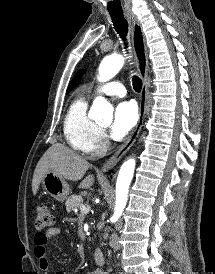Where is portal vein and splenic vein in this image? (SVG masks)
I'll return each instance as SVG.
<instances>
[{
	"label": "portal vein and splenic vein",
	"instance_id": "1",
	"mask_svg": "<svg viewBox=\"0 0 215 274\" xmlns=\"http://www.w3.org/2000/svg\"><path fill=\"white\" fill-rule=\"evenodd\" d=\"M80 211H81V213H83V214L88 213V212H89V206L81 205V206H80Z\"/></svg>",
	"mask_w": 215,
	"mask_h": 274
}]
</instances>
